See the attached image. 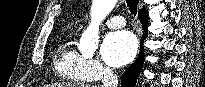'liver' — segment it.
<instances>
[{
  "label": "liver",
  "instance_id": "6515ba94",
  "mask_svg": "<svg viewBox=\"0 0 205 87\" xmlns=\"http://www.w3.org/2000/svg\"><path fill=\"white\" fill-rule=\"evenodd\" d=\"M49 87H97L94 85H88V84H74V83H68V82H63V83H56V84H51Z\"/></svg>",
  "mask_w": 205,
  "mask_h": 87
}]
</instances>
